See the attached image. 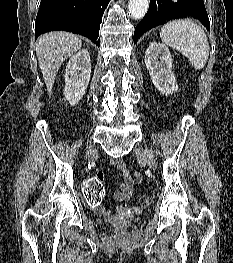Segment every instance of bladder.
<instances>
[{
  "label": "bladder",
  "instance_id": "31cf9c89",
  "mask_svg": "<svg viewBox=\"0 0 233 263\" xmlns=\"http://www.w3.org/2000/svg\"><path fill=\"white\" fill-rule=\"evenodd\" d=\"M136 219L135 214H118L108 219V223L112 226H129Z\"/></svg>",
  "mask_w": 233,
  "mask_h": 263
}]
</instances>
